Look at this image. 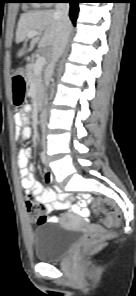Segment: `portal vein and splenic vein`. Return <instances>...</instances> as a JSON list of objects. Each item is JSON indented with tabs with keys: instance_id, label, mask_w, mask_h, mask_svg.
Listing matches in <instances>:
<instances>
[{
	"instance_id": "obj_1",
	"label": "portal vein and splenic vein",
	"mask_w": 136,
	"mask_h": 296,
	"mask_svg": "<svg viewBox=\"0 0 136 296\" xmlns=\"http://www.w3.org/2000/svg\"><path fill=\"white\" fill-rule=\"evenodd\" d=\"M38 34H39L38 31H30L27 33V37L32 38L34 36H37ZM45 62H46V59L44 56L37 57L36 62H35V68H34V71L36 74H38L42 71V68H43Z\"/></svg>"
}]
</instances>
